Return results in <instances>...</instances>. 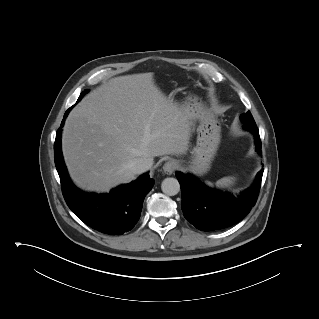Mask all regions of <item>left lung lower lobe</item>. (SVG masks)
Wrapping results in <instances>:
<instances>
[{"instance_id":"obj_1","label":"left lung lower lobe","mask_w":319,"mask_h":319,"mask_svg":"<svg viewBox=\"0 0 319 319\" xmlns=\"http://www.w3.org/2000/svg\"><path fill=\"white\" fill-rule=\"evenodd\" d=\"M255 135L256 149L261 153V140L257 126L244 125ZM263 169L254 184L238 196L212 190L193 175L176 173L182 191V211L185 218L202 231L226 228L242 220L255 205L259 194Z\"/></svg>"}]
</instances>
